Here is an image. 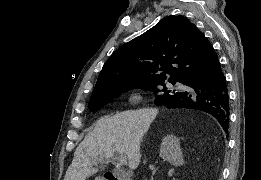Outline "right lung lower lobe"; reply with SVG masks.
I'll use <instances>...</instances> for the list:
<instances>
[{"instance_id":"98d812e1","label":"right lung lower lobe","mask_w":261,"mask_h":180,"mask_svg":"<svg viewBox=\"0 0 261 180\" xmlns=\"http://www.w3.org/2000/svg\"><path fill=\"white\" fill-rule=\"evenodd\" d=\"M183 84L190 87L162 102L167 108H193L213 115L228 133L229 95L219 61L191 73Z\"/></svg>"}]
</instances>
